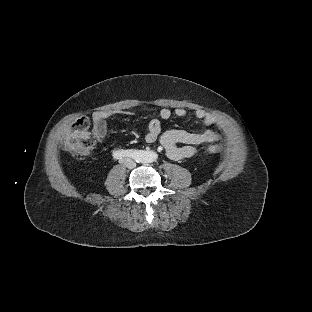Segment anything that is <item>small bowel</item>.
Masks as SVG:
<instances>
[{"label": "small bowel", "mask_w": 312, "mask_h": 312, "mask_svg": "<svg viewBox=\"0 0 312 312\" xmlns=\"http://www.w3.org/2000/svg\"><path fill=\"white\" fill-rule=\"evenodd\" d=\"M115 114L132 115L133 112L127 110H109L94 113L92 116V132L97 140H102L105 137L106 119ZM173 114L179 118H184L187 116L188 111L184 107H177L174 110L168 107L161 108L159 117L149 121L145 135V142L147 144L160 142L170 159L182 160L189 158L195 154V146L217 141L218 134L212 129H206L199 133L185 130H168L162 132L161 120H167ZM194 115L205 128L216 124V118L203 109H196ZM179 144H182V146H179Z\"/></svg>", "instance_id": "1"}]
</instances>
